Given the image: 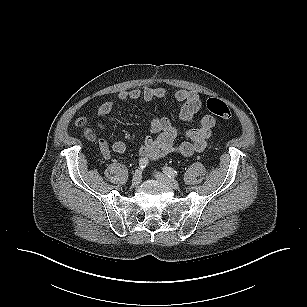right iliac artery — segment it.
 <instances>
[{"label": "right iliac artery", "mask_w": 307, "mask_h": 307, "mask_svg": "<svg viewBox=\"0 0 307 307\" xmlns=\"http://www.w3.org/2000/svg\"><path fill=\"white\" fill-rule=\"evenodd\" d=\"M148 159H145V158H141L140 160H139V167H140V169L141 170H144L145 169V167L148 165Z\"/></svg>", "instance_id": "obj_1"}]
</instances>
